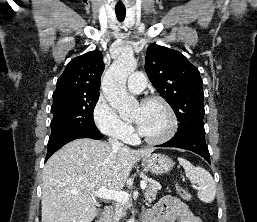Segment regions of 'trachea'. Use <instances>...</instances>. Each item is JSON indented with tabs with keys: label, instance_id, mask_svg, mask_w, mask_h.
<instances>
[{
	"label": "trachea",
	"instance_id": "obj_1",
	"mask_svg": "<svg viewBox=\"0 0 257 222\" xmlns=\"http://www.w3.org/2000/svg\"><path fill=\"white\" fill-rule=\"evenodd\" d=\"M116 17L118 21L122 22L125 19L126 11L125 10H115Z\"/></svg>",
	"mask_w": 257,
	"mask_h": 222
}]
</instances>
